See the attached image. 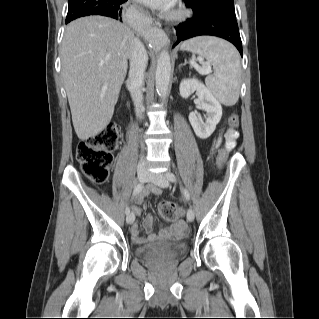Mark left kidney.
<instances>
[{
    "label": "left kidney",
    "instance_id": "1",
    "mask_svg": "<svg viewBox=\"0 0 319 319\" xmlns=\"http://www.w3.org/2000/svg\"><path fill=\"white\" fill-rule=\"evenodd\" d=\"M179 90L183 98H188L192 93L197 92L200 108L206 111L207 118L205 122L201 121L198 113L195 111L189 114V121L195 134L201 139H207L214 132L216 125L222 117L221 104L205 85L195 78L183 79L180 83Z\"/></svg>",
    "mask_w": 319,
    "mask_h": 319
}]
</instances>
